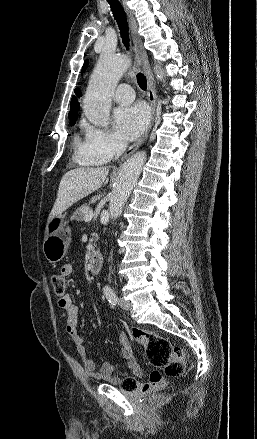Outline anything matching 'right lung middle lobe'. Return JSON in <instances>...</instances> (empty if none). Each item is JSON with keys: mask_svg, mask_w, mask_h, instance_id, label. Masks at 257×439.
Returning <instances> with one entry per match:
<instances>
[{"mask_svg": "<svg viewBox=\"0 0 257 439\" xmlns=\"http://www.w3.org/2000/svg\"><path fill=\"white\" fill-rule=\"evenodd\" d=\"M69 119H70V124L71 125H74L75 124V121H76V112H69Z\"/></svg>", "mask_w": 257, "mask_h": 439, "instance_id": "1", "label": "right lung middle lobe"}]
</instances>
